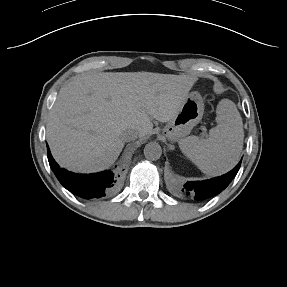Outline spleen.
<instances>
[{
	"instance_id": "3e777b00",
	"label": "spleen",
	"mask_w": 287,
	"mask_h": 287,
	"mask_svg": "<svg viewBox=\"0 0 287 287\" xmlns=\"http://www.w3.org/2000/svg\"><path fill=\"white\" fill-rule=\"evenodd\" d=\"M218 125L207 138L188 136L179 141L182 153L208 175H222L239 161L243 148V122L235 104L221 100L217 105Z\"/></svg>"
}]
</instances>
